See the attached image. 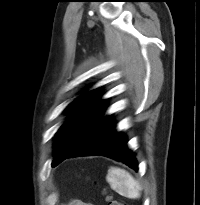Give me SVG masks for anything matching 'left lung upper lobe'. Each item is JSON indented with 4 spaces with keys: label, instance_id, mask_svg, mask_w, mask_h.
Returning a JSON list of instances; mask_svg holds the SVG:
<instances>
[{
    "label": "left lung upper lobe",
    "instance_id": "obj_1",
    "mask_svg": "<svg viewBox=\"0 0 200 205\" xmlns=\"http://www.w3.org/2000/svg\"><path fill=\"white\" fill-rule=\"evenodd\" d=\"M97 89L77 98L68 107L69 119L56 133V152L52 166H57L102 118L105 100H99Z\"/></svg>",
    "mask_w": 200,
    "mask_h": 205
}]
</instances>
